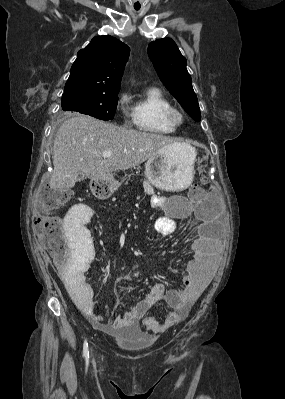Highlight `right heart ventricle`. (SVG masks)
I'll list each match as a JSON object with an SVG mask.
<instances>
[{
    "mask_svg": "<svg viewBox=\"0 0 285 399\" xmlns=\"http://www.w3.org/2000/svg\"><path fill=\"white\" fill-rule=\"evenodd\" d=\"M172 107L170 100L158 88L151 87L134 102L133 117L140 131L166 135L175 131V126L166 120V111Z\"/></svg>",
    "mask_w": 285,
    "mask_h": 399,
    "instance_id": "e07e8e85",
    "label": "right heart ventricle"
}]
</instances>
